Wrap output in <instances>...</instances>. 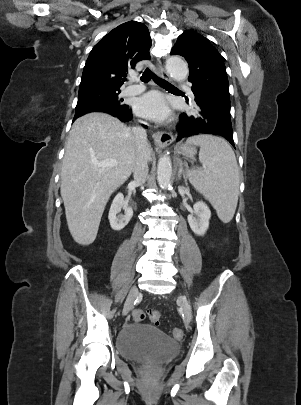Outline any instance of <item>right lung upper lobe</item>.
<instances>
[{"instance_id":"right-lung-upper-lobe-1","label":"right lung upper lobe","mask_w":301,"mask_h":405,"mask_svg":"<svg viewBox=\"0 0 301 405\" xmlns=\"http://www.w3.org/2000/svg\"><path fill=\"white\" fill-rule=\"evenodd\" d=\"M151 38L140 22L123 23L105 35L92 49L86 61L80 90L120 89L129 68L150 59Z\"/></svg>"}]
</instances>
